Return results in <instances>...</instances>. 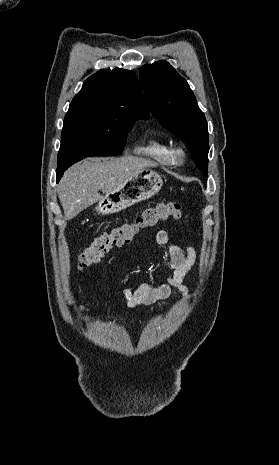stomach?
Listing matches in <instances>:
<instances>
[{
    "mask_svg": "<svg viewBox=\"0 0 279 465\" xmlns=\"http://www.w3.org/2000/svg\"><path fill=\"white\" fill-rule=\"evenodd\" d=\"M163 185L159 174L151 170H141L115 190L107 193L95 210L98 214L108 215L120 212L136 203L147 200L157 194Z\"/></svg>",
    "mask_w": 279,
    "mask_h": 465,
    "instance_id": "0dacf381",
    "label": "stomach"
}]
</instances>
